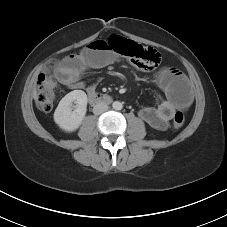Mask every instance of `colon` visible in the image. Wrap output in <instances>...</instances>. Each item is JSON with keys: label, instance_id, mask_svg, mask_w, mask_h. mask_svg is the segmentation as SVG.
<instances>
[{"label": "colon", "instance_id": "5ec220e1", "mask_svg": "<svg viewBox=\"0 0 227 227\" xmlns=\"http://www.w3.org/2000/svg\"><path fill=\"white\" fill-rule=\"evenodd\" d=\"M105 41L110 44L113 52L130 59L141 70H153L160 63V54L152 48H145L133 41L116 35L110 36ZM37 89V105L39 109L45 113L50 112L55 102L56 82L48 72L39 75ZM184 122V114L180 111L176 112L172 122L173 129H180L184 125Z\"/></svg>", "mask_w": 227, "mask_h": 227}]
</instances>
